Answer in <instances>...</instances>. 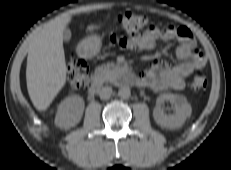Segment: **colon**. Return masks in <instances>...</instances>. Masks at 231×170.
<instances>
[{"label":"colon","instance_id":"obj_1","mask_svg":"<svg viewBox=\"0 0 231 170\" xmlns=\"http://www.w3.org/2000/svg\"><path fill=\"white\" fill-rule=\"evenodd\" d=\"M118 23L121 28L130 36H135L147 24V18L142 14L129 11L118 15ZM68 79L73 91L84 88L88 84V64L85 59L72 56L68 62ZM208 84L206 73L203 69H196L189 83L192 92L203 91Z\"/></svg>","mask_w":231,"mask_h":170}]
</instances>
